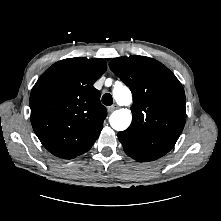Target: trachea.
<instances>
[{
    "instance_id": "3493384b",
    "label": "trachea",
    "mask_w": 221,
    "mask_h": 221,
    "mask_svg": "<svg viewBox=\"0 0 221 221\" xmlns=\"http://www.w3.org/2000/svg\"><path fill=\"white\" fill-rule=\"evenodd\" d=\"M102 103L106 106L112 105V103H113L112 95L110 93H105L102 96Z\"/></svg>"
}]
</instances>
